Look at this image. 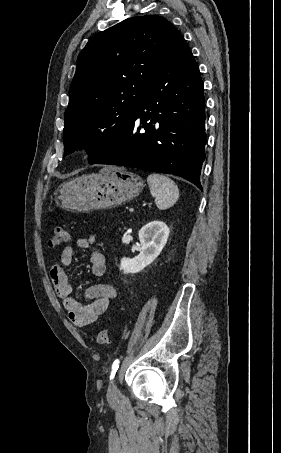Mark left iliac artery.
I'll return each instance as SVG.
<instances>
[{"label":"left iliac artery","mask_w":281,"mask_h":453,"mask_svg":"<svg viewBox=\"0 0 281 453\" xmlns=\"http://www.w3.org/2000/svg\"><path fill=\"white\" fill-rule=\"evenodd\" d=\"M118 368H119V360L117 359L113 362L110 380L115 377V374H116V371L118 370Z\"/></svg>","instance_id":"44dca946"}]
</instances>
